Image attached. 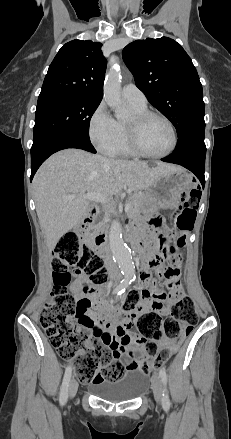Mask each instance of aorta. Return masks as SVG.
I'll return each mask as SVG.
<instances>
[{"label":"aorta","mask_w":231,"mask_h":439,"mask_svg":"<svg viewBox=\"0 0 231 439\" xmlns=\"http://www.w3.org/2000/svg\"><path fill=\"white\" fill-rule=\"evenodd\" d=\"M121 72L120 68L114 64L110 67L104 81V100L114 111L118 120L125 118L126 110L121 99ZM110 249L121 269L127 278L135 276V266L132 260L130 249L124 243L122 238V228L118 221H114L109 232Z\"/></svg>","instance_id":"obj_1"}]
</instances>
